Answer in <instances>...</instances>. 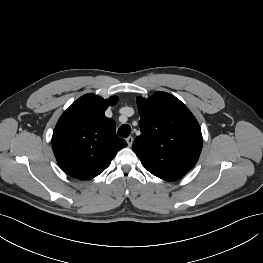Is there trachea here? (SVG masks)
<instances>
[{
    "label": "trachea",
    "instance_id": "obj_1",
    "mask_svg": "<svg viewBox=\"0 0 263 263\" xmlns=\"http://www.w3.org/2000/svg\"><path fill=\"white\" fill-rule=\"evenodd\" d=\"M131 133V127L127 124H123L118 129V135L127 138Z\"/></svg>",
    "mask_w": 263,
    "mask_h": 263
}]
</instances>
